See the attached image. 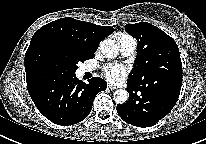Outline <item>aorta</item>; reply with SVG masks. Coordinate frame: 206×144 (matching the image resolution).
<instances>
[{
	"instance_id": "762f6f07",
	"label": "aorta",
	"mask_w": 206,
	"mask_h": 144,
	"mask_svg": "<svg viewBox=\"0 0 206 144\" xmlns=\"http://www.w3.org/2000/svg\"><path fill=\"white\" fill-rule=\"evenodd\" d=\"M100 50L106 58H115L119 53V46L114 40L106 39L100 43ZM128 97L129 94L126 90L118 89L114 92V101L117 104H124Z\"/></svg>"
}]
</instances>
